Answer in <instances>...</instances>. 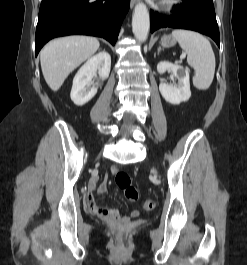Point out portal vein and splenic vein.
<instances>
[{"mask_svg":"<svg viewBox=\"0 0 247 265\" xmlns=\"http://www.w3.org/2000/svg\"><path fill=\"white\" fill-rule=\"evenodd\" d=\"M185 57H186V55H185V54H182V55L180 56V59L183 60Z\"/></svg>","mask_w":247,"mask_h":265,"instance_id":"portal-vein-and-splenic-vein-1","label":"portal vein and splenic vein"}]
</instances>
